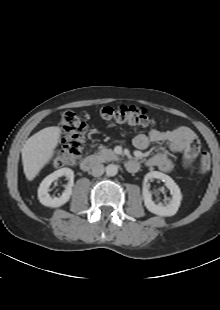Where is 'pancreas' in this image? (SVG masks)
I'll use <instances>...</instances> for the list:
<instances>
[{"mask_svg":"<svg viewBox=\"0 0 220 310\" xmlns=\"http://www.w3.org/2000/svg\"><path fill=\"white\" fill-rule=\"evenodd\" d=\"M95 156L101 162L118 159V156L111 149H107L106 147H101Z\"/></svg>","mask_w":220,"mask_h":310,"instance_id":"obj_1","label":"pancreas"}]
</instances>
